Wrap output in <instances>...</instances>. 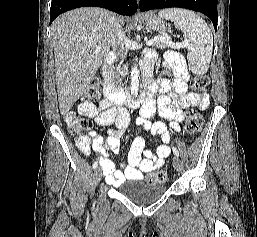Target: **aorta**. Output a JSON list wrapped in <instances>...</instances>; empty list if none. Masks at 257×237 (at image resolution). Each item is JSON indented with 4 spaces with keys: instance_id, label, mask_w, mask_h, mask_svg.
I'll list each match as a JSON object with an SVG mask.
<instances>
[{
    "instance_id": "1",
    "label": "aorta",
    "mask_w": 257,
    "mask_h": 237,
    "mask_svg": "<svg viewBox=\"0 0 257 237\" xmlns=\"http://www.w3.org/2000/svg\"><path fill=\"white\" fill-rule=\"evenodd\" d=\"M130 77H131V83H130L131 94L137 97L138 91H139V78H140L139 69L137 65H133L131 69Z\"/></svg>"
}]
</instances>
